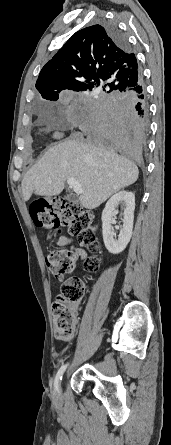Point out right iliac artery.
<instances>
[{"mask_svg":"<svg viewBox=\"0 0 171 445\" xmlns=\"http://www.w3.org/2000/svg\"><path fill=\"white\" fill-rule=\"evenodd\" d=\"M67 366H68V364L62 365L61 368L57 372V375H56L55 381H54V388L56 391L58 390L59 382H60V380H62V375L64 374Z\"/></svg>","mask_w":171,"mask_h":445,"instance_id":"82829eb1","label":"right iliac artery"}]
</instances>
